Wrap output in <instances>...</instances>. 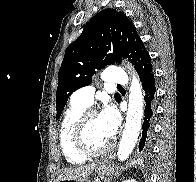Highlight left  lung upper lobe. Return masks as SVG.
Returning a JSON list of instances; mask_svg holds the SVG:
<instances>
[{
	"mask_svg": "<svg viewBox=\"0 0 196 182\" xmlns=\"http://www.w3.org/2000/svg\"><path fill=\"white\" fill-rule=\"evenodd\" d=\"M148 54L136 27L123 12L105 9L96 14L65 51L58 74L57 119L69 96L91 84L96 69L120 63L121 57L128 58L137 69ZM115 99L119 102L120 96L115 94Z\"/></svg>",
	"mask_w": 196,
	"mask_h": 182,
	"instance_id": "5c2ea615",
	"label": "left lung upper lobe"
}]
</instances>
